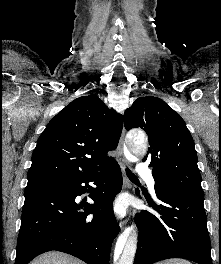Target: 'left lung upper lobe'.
<instances>
[{
  "instance_id": "left-lung-upper-lobe-1",
  "label": "left lung upper lobe",
  "mask_w": 221,
  "mask_h": 264,
  "mask_svg": "<svg viewBox=\"0 0 221 264\" xmlns=\"http://www.w3.org/2000/svg\"><path fill=\"white\" fill-rule=\"evenodd\" d=\"M124 126L147 133L150 148L143 162L153 167L155 185L204 198L193 138L170 106L157 97L138 98L125 111Z\"/></svg>"
}]
</instances>
